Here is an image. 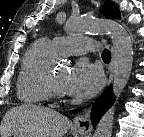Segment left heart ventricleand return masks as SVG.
Here are the masks:
<instances>
[{"label":"left heart ventricle","instance_id":"b2bd125f","mask_svg":"<svg viewBox=\"0 0 144 137\" xmlns=\"http://www.w3.org/2000/svg\"><path fill=\"white\" fill-rule=\"evenodd\" d=\"M55 78L58 84L64 89L65 82L68 78V72L65 70L55 71Z\"/></svg>","mask_w":144,"mask_h":137}]
</instances>
